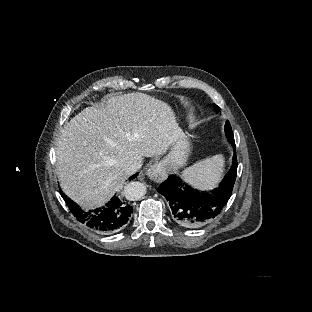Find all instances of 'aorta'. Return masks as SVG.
Masks as SVG:
<instances>
[{"label":"aorta","mask_w":312,"mask_h":312,"mask_svg":"<svg viewBox=\"0 0 312 312\" xmlns=\"http://www.w3.org/2000/svg\"><path fill=\"white\" fill-rule=\"evenodd\" d=\"M146 194V185L144 183L135 181L130 182L125 187V197L130 201H137Z\"/></svg>","instance_id":"aorta-1"}]
</instances>
